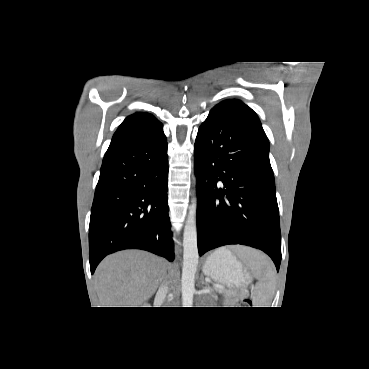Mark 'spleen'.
<instances>
[{"instance_id":"1","label":"spleen","mask_w":369,"mask_h":369,"mask_svg":"<svg viewBox=\"0 0 369 369\" xmlns=\"http://www.w3.org/2000/svg\"><path fill=\"white\" fill-rule=\"evenodd\" d=\"M241 257L247 259L248 266L259 280L254 289V305L268 307L275 290L276 270L273 263L266 255L249 248L242 250Z\"/></svg>"}]
</instances>
